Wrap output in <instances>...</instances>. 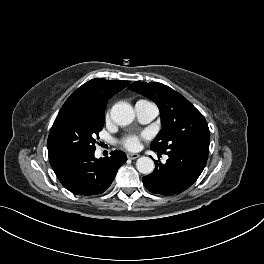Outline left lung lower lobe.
Here are the masks:
<instances>
[{
    "mask_svg": "<svg viewBox=\"0 0 264 264\" xmlns=\"http://www.w3.org/2000/svg\"><path fill=\"white\" fill-rule=\"evenodd\" d=\"M165 154L169 156L166 163L155 161L154 171L143 177L142 182L150 192L168 196L189 188L202 173L208 158L207 151L183 145Z\"/></svg>",
    "mask_w": 264,
    "mask_h": 264,
    "instance_id": "obj_1",
    "label": "left lung lower lobe"
}]
</instances>
